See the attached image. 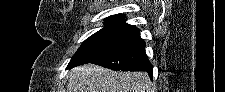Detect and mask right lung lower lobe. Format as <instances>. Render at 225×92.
<instances>
[{
    "instance_id": "1",
    "label": "right lung lower lobe",
    "mask_w": 225,
    "mask_h": 92,
    "mask_svg": "<svg viewBox=\"0 0 225 92\" xmlns=\"http://www.w3.org/2000/svg\"><path fill=\"white\" fill-rule=\"evenodd\" d=\"M113 70L146 71L152 79V65L145 53L143 39L115 49L89 62Z\"/></svg>"
}]
</instances>
